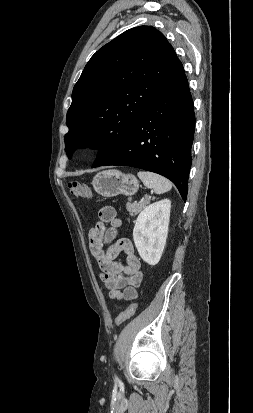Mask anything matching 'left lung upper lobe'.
<instances>
[{
  "mask_svg": "<svg viewBox=\"0 0 253 413\" xmlns=\"http://www.w3.org/2000/svg\"><path fill=\"white\" fill-rule=\"evenodd\" d=\"M178 62L173 47L152 26L125 31L99 49L85 66L67 112L65 151L98 149L101 166L125 143Z\"/></svg>",
  "mask_w": 253,
  "mask_h": 413,
  "instance_id": "1",
  "label": "left lung upper lobe"
}]
</instances>
